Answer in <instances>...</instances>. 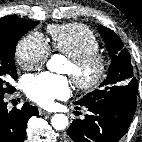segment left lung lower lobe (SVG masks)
Listing matches in <instances>:
<instances>
[{
	"instance_id": "0a47b994",
	"label": "left lung lower lobe",
	"mask_w": 142,
	"mask_h": 142,
	"mask_svg": "<svg viewBox=\"0 0 142 142\" xmlns=\"http://www.w3.org/2000/svg\"><path fill=\"white\" fill-rule=\"evenodd\" d=\"M137 94L124 93L85 105L91 114L85 115L84 120L74 119L63 142L118 141L132 121Z\"/></svg>"
}]
</instances>
